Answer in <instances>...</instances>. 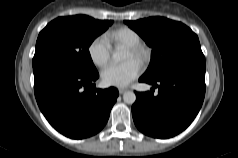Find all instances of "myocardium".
<instances>
[{"instance_id": "obj_1", "label": "myocardium", "mask_w": 238, "mask_h": 158, "mask_svg": "<svg viewBox=\"0 0 238 158\" xmlns=\"http://www.w3.org/2000/svg\"><path fill=\"white\" fill-rule=\"evenodd\" d=\"M127 50L132 54L133 59L137 60L140 63H145L149 58L148 49L142 45H134L127 47Z\"/></svg>"}]
</instances>
